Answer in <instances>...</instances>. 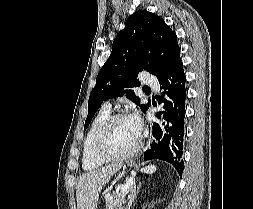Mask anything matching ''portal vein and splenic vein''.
<instances>
[{
  "label": "portal vein and splenic vein",
  "instance_id": "portal-vein-and-splenic-vein-1",
  "mask_svg": "<svg viewBox=\"0 0 253 209\" xmlns=\"http://www.w3.org/2000/svg\"><path fill=\"white\" fill-rule=\"evenodd\" d=\"M133 184H134V178L128 179V181L126 182V184L121 187V191L125 192L126 190L130 189Z\"/></svg>",
  "mask_w": 253,
  "mask_h": 209
}]
</instances>
